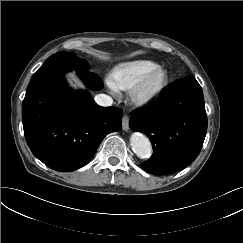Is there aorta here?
<instances>
[{
    "mask_svg": "<svg viewBox=\"0 0 243 243\" xmlns=\"http://www.w3.org/2000/svg\"><path fill=\"white\" fill-rule=\"evenodd\" d=\"M130 142L132 149L137 156L146 158L151 154V143L145 135L134 133L130 137Z\"/></svg>",
    "mask_w": 243,
    "mask_h": 243,
    "instance_id": "1",
    "label": "aorta"
}]
</instances>
